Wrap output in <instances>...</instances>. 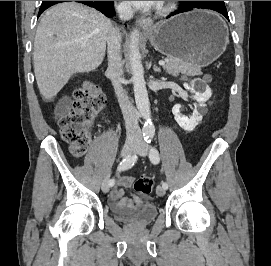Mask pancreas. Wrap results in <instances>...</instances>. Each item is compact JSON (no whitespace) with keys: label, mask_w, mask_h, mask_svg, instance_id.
<instances>
[{"label":"pancreas","mask_w":271,"mask_h":266,"mask_svg":"<svg viewBox=\"0 0 271 266\" xmlns=\"http://www.w3.org/2000/svg\"><path fill=\"white\" fill-rule=\"evenodd\" d=\"M164 70L172 76L183 75H201V69L198 66H193L188 62H184L177 58H167Z\"/></svg>","instance_id":"cf45deb5"}]
</instances>
